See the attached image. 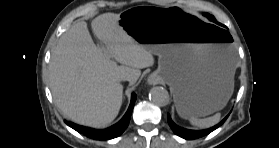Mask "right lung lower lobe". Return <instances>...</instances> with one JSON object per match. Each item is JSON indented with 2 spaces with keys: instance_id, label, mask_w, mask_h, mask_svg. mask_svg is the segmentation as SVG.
<instances>
[{
  "instance_id": "1",
  "label": "right lung lower lobe",
  "mask_w": 279,
  "mask_h": 148,
  "mask_svg": "<svg viewBox=\"0 0 279 148\" xmlns=\"http://www.w3.org/2000/svg\"><path fill=\"white\" fill-rule=\"evenodd\" d=\"M135 101H136V95L135 93H133L131 98V103L126 114L118 123H116L115 125L107 129L96 130L88 127L78 126L74 123L67 122V121H65V123L71 128H73L74 130H76L77 132L83 133L84 135H86L91 139H95V140L112 139L121 135L124 132V130L127 128Z\"/></svg>"
}]
</instances>
